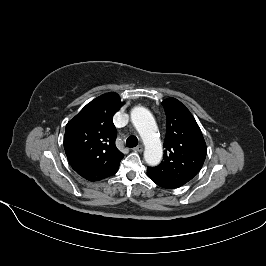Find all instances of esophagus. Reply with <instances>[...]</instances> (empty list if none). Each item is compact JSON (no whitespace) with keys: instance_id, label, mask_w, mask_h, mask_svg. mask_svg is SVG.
<instances>
[{"instance_id":"obj_1","label":"esophagus","mask_w":266,"mask_h":266,"mask_svg":"<svg viewBox=\"0 0 266 266\" xmlns=\"http://www.w3.org/2000/svg\"><path fill=\"white\" fill-rule=\"evenodd\" d=\"M144 150L143 145H138L137 147L134 148L135 152H142Z\"/></svg>"}]
</instances>
